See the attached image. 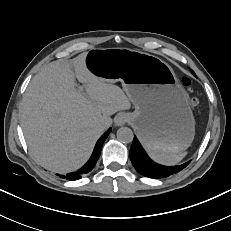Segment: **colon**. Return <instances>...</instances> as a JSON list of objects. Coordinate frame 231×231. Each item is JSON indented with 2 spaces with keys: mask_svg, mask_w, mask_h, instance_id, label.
Instances as JSON below:
<instances>
[{
  "mask_svg": "<svg viewBox=\"0 0 231 231\" xmlns=\"http://www.w3.org/2000/svg\"><path fill=\"white\" fill-rule=\"evenodd\" d=\"M184 84L189 85V80L187 78L184 79ZM190 102H191L192 105L195 106V105H197L199 103V100H198L197 97L193 96V97H191Z\"/></svg>",
  "mask_w": 231,
  "mask_h": 231,
  "instance_id": "obj_1",
  "label": "colon"
}]
</instances>
